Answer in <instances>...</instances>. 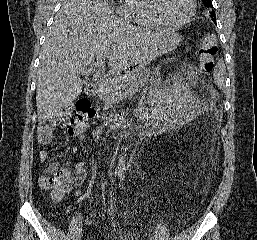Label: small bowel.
<instances>
[{
    "instance_id": "c3829d8e",
    "label": "small bowel",
    "mask_w": 257,
    "mask_h": 240,
    "mask_svg": "<svg viewBox=\"0 0 257 240\" xmlns=\"http://www.w3.org/2000/svg\"><path fill=\"white\" fill-rule=\"evenodd\" d=\"M171 61H176V59H172ZM53 137V133L51 129H47L42 127L39 130L38 134V140L40 144L42 145H47L51 142ZM47 151L46 150H41L39 152V158L41 161H44L47 158ZM86 166L87 163L85 161L80 162L76 165L75 169L73 170V187L78 188L80 187L83 182L86 179ZM58 168V163H51L49 166V169H57Z\"/></svg>"
}]
</instances>
